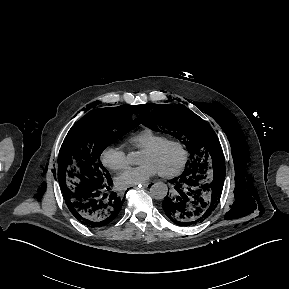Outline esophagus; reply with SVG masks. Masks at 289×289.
I'll return each mask as SVG.
<instances>
[{
  "label": "esophagus",
  "mask_w": 289,
  "mask_h": 289,
  "mask_svg": "<svg viewBox=\"0 0 289 289\" xmlns=\"http://www.w3.org/2000/svg\"><path fill=\"white\" fill-rule=\"evenodd\" d=\"M150 185V183H143L141 184V187H148Z\"/></svg>",
  "instance_id": "esophagus-1"
}]
</instances>
